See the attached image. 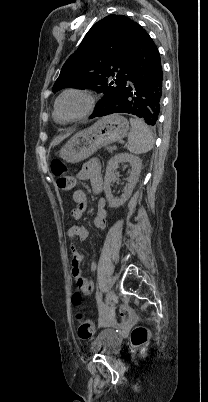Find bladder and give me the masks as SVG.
I'll use <instances>...</instances> for the list:
<instances>
[{"instance_id": "31cf9c89", "label": "bladder", "mask_w": 208, "mask_h": 402, "mask_svg": "<svg viewBox=\"0 0 208 402\" xmlns=\"http://www.w3.org/2000/svg\"><path fill=\"white\" fill-rule=\"evenodd\" d=\"M121 342L119 334L112 330H101L92 341V347L95 352L114 353L120 348Z\"/></svg>"}]
</instances>
